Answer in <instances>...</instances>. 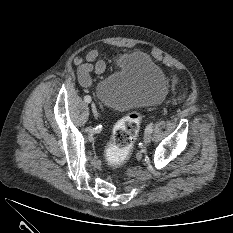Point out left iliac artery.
<instances>
[{"mask_svg": "<svg viewBox=\"0 0 233 233\" xmlns=\"http://www.w3.org/2000/svg\"><path fill=\"white\" fill-rule=\"evenodd\" d=\"M146 131L152 133V131H153V123H150V124L146 127Z\"/></svg>", "mask_w": 233, "mask_h": 233, "instance_id": "obj_1", "label": "left iliac artery"}]
</instances>
